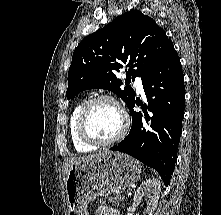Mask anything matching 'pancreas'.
I'll return each instance as SVG.
<instances>
[{
	"label": "pancreas",
	"mask_w": 221,
	"mask_h": 215,
	"mask_svg": "<svg viewBox=\"0 0 221 215\" xmlns=\"http://www.w3.org/2000/svg\"><path fill=\"white\" fill-rule=\"evenodd\" d=\"M121 201L120 196L114 195L113 197H105L104 199H100V203L105 205L106 203L112 204L113 206H119V202Z\"/></svg>",
	"instance_id": "obj_1"
}]
</instances>
